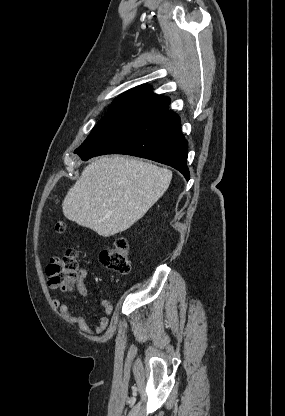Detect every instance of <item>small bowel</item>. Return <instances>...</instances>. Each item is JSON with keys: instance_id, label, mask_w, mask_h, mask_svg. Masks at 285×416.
<instances>
[{"instance_id": "c3829d8e", "label": "small bowel", "mask_w": 285, "mask_h": 416, "mask_svg": "<svg viewBox=\"0 0 285 416\" xmlns=\"http://www.w3.org/2000/svg\"><path fill=\"white\" fill-rule=\"evenodd\" d=\"M84 271H81V279L79 283L77 284V291L78 293L83 296L87 297L89 295L88 288L83 280ZM53 305L58 309L60 317L69 324H75L78 326L80 331L88 336H91L93 334L92 329L90 328L89 324L83 318L82 316H76L73 314L71 309L63 303L60 299L53 298L52 299ZM100 306L102 307L104 313L106 315H110L113 311V306L110 301L106 299H102L100 301ZM108 325V318L106 316H103L99 319L98 323L95 326V331L97 334H101Z\"/></svg>"}]
</instances>
